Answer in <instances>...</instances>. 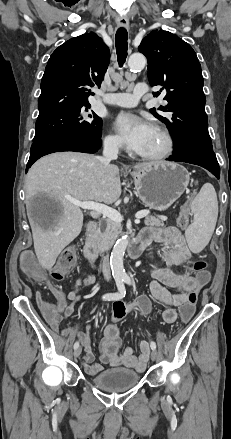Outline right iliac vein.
<instances>
[{
  "instance_id": "63e3f726",
  "label": "right iliac vein",
  "mask_w": 231,
  "mask_h": 439,
  "mask_svg": "<svg viewBox=\"0 0 231 439\" xmlns=\"http://www.w3.org/2000/svg\"><path fill=\"white\" fill-rule=\"evenodd\" d=\"M81 351H82L81 347H77V348L74 350V356H75L76 358L79 357L80 354H81Z\"/></svg>"
}]
</instances>
